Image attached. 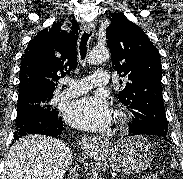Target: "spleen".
<instances>
[{
  "label": "spleen",
  "instance_id": "3e777b00",
  "mask_svg": "<svg viewBox=\"0 0 183 179\" xmlns=\"http://www.w3.org/2000/svg\"><path fill=\"white\" fill-rule=\"evenodd\" d=\"M171 166H172V168H177L178 167V163L176 162V160L172 159Z\"/></svg>",
  "mask_w": 183,
  "mask_h": 179
}]
</instances>
